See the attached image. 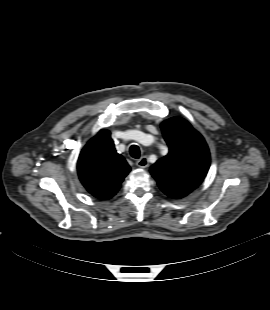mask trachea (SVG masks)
Returning <instances> with one entry per match:
<instances>
[{
	"mask_svg": "<svg viewBox=\"0 0 270 310\" xmlns=\"http://www.w3.org/2000/svg\"><path fill=\"white\" fill-rule=\"evenodd\" d=\"M130 155L135 158V159H138L140 158V155H141V152H140V149L137 145H131L130 147Z\"/></svg>",
	"mask_w": 270,
	"mask_h": 310,
	"instance_id": "1",
	"label": "trachea"
}]
</instances>
